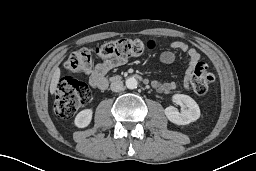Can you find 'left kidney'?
I'll use <instances>...</instances> for the list:
<instances>
[{
	"mask_svg": "<svg viewBox=\"0 0 256 171\" xmlns=\"http://www.w3.org/2000/svg\"><path fill=\"white\" fill-rule=\"evenodd\" d=\"M177 104H184L187 109L179 112L175 107L169 106L165 109V115L169 121L177 125H187L200 117L198 104L188 95L175 94L172 98Z\"/></svg>",
	"mask_w": 256,
	"mask_h": 171,
	"instance_id": "5707ae66",
	"label": "left kidney"
}]
</instances>
